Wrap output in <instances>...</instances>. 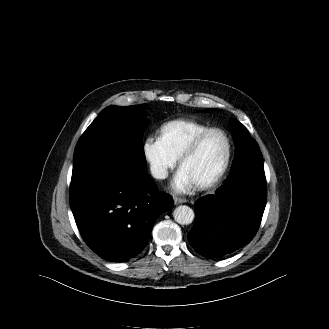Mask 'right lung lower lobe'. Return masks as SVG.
Wrapping results in <instances>:
<instances>
[{
  "instance_id": "obj_1",
  "label": "right lung lower lobe",
  "mask_w": 329,
  "mask_h": 329,
  "mask_svg": "<svg viewBox=\"0 0 329 329\" xmlns=\"http://www.w3.org/2000/svg\"><path fill=\"white\" fill-rule=\"evenodd\" d=\"M70 205L86 244L102 258L126 261L149 242L157 217L173 206L145 174L98 169L71 180Z\"/></svg>"
}]
</instances>
